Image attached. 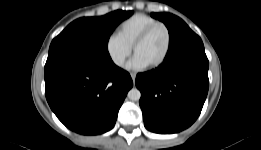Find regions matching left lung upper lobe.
Listing matches in <instances>:
<instances>
[{"instance_id": "5c2ea615", "label": "left lung upper lobe", "mask_w": 261, "mask_h": 150, "mask_svg": "<svg viewBox=\"0 0 261 150\" xmlns=\"http://www.w3.org/2000/svg\"><path fill=\"white\" fill-rule=\"evenodd\" d=\"M151 16L158 19L166 25L170 35V45L173 44L185 32L191 29L179 17L170 13H151Z\"/></svg>"}]
</instances>
